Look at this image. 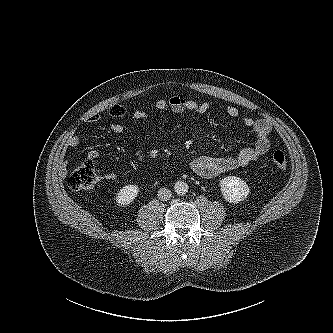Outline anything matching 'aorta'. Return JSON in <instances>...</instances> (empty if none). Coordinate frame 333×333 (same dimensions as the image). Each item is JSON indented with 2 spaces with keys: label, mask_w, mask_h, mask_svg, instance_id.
<instances>
[{
  "label": "aorta",
  "mask_w": 333,
  "mask_h": 333,
  "mask_svg": "<svg viewBox=\"0 0 333 333\" xmlns=\"http://www.w3.org/2000/svg\"><path fill=\"white\" fill-rule=\"evenodd\" d=\"M174 189L178 195H185L188 192L189 187L187 183L183 181H178L175 183Z\"/></svg>",
  "instance_id": "1"
}]
</instances>
